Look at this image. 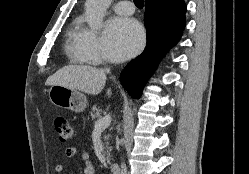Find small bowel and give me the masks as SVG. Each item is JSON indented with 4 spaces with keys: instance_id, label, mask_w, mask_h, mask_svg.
Segmentation results:
<instances>
[{
    "instance_id": "obj_1",
    "label": "small bowel",
    "mask_w": 249,
    "mask_h": 174,
    "mask_svg": "<svg viewBox=\"0 0 249 174\" xmlns=\"http://www.w3.org/2000/svg\"><path fill=\"white\" fill-rule=\"evenodd\" d=\"M78 154L81 156V159L83 161V165H84L83 173L84 174H96V166L94 162L90 159V156L86 151L80 150L76 147H69L65 151V155L68 158H73ZM64 170L65 168L62 164H58L55 167V171L57 174H63Z\"/></svg>"
}]
</instances>
